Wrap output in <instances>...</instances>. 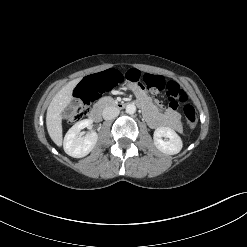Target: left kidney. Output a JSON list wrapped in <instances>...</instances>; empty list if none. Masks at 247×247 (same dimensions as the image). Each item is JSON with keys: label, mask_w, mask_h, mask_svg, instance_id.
Returning <instances> with one entry per match:
<instances>
[{"label": "left kidney", "mask_w": 247, "mask_h": 247, "mask_svg": "<svg viewBox=\"0 0 247 247\" xmlns=\"http://www.w3.org/2000/svg\"><path fill=\"white\" fill-rule=\"evenodd\" d=\"M162 137L168 138V140H163ZM153 139L156 148L165 154H177L183 147L180 136L169 127L157 128L154 131Z\"/></svg>", "instance_id": "left-kidney-1"}]
</instances>
